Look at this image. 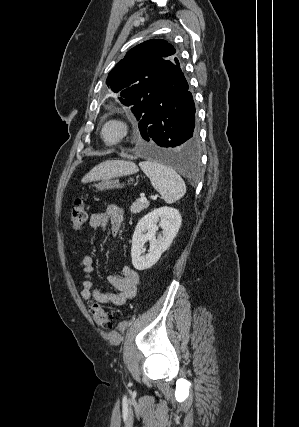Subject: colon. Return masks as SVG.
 Listing matches in <instances>:
<instances>
[{
  "mask_svg": "<svg viewBox=\"0 0 299 427\" xmlns=\"http://www.w3.org/2000/svg\"><path fill=\"white\" fill-rule=\"evenodd\" d=\"M87 212L86 204L82 197L74 200L73 206L70 210L69 222L74 230H80L86 222ZM90 312L95 323L104 329L111 326V317L107 311L99 304L93 303L90 305Z\"/></svg>",
  "mask_w": 299,
  "mask_h": 427,
  "instance_id": "colon-1",
  "label": "colon"
}]
</instances>
